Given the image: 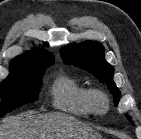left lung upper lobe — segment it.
Segmentation results:
<instances>
[{
    "mask_svg": "<svg viewBox=\"0 0 141 139\" xmlns=\"http://www.w3.org/2000/svg\"><path fill=\"white\" fill-rule=\"evenodd\" d=\"M61 56L66 64L78 66L97 77L114 96L115 105L120 99V91L113 81L114 68L104 58V47L93 41H85L61 50ZM130 120V118L128 117ZM131 121V120H130Z\"/></svg>",
    "mask_w": 141,
    "mask_h": 139,
    "instance_id": "1",
    "label": "left lung upper lobe"
}]
</instances>
